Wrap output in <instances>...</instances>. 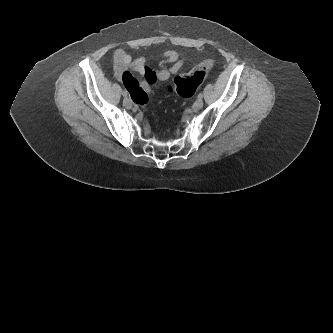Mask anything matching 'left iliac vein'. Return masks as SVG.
<instances>
[{
    "instance_id": "left-iliac-vein-1",
    "label": "left iliac vein",
    "mask_w": 333,
    "mask_h": 333,
    "mask_svg": "<svg viewBox=\"0 0 333 333\" xmlns=\"http://www.w3.org/2000/svg\"><path fill=\"white\" fill-rule=\"evenodd\" d=\"M203 106V100L200 98H197V100L194 102L192 108L194 111H198L199 109H201Z\"/></svg>"
}]
</instances>
